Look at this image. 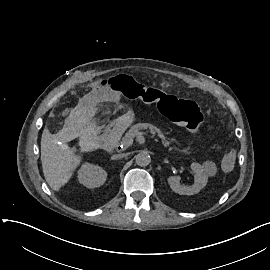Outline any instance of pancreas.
I'll return each mask as SVG.
<instances>
[{
    "label": "pancreas",
    "mask_w": 270,
    "mask_h": 270,
    "mask_svg": "<svg viewBox=\"0 0 270 270\" xmlns=\"http://www.w3.org/2000/svg\"><path fill=\"white\" fill-rule=\"evenodd\" d=\"M142 129L148 130V132H150L151 134H156L157 133L158 136L161 139L162 145L164 147H168L169 148V151L171 153H174L173 152V147L170 146V142L165 137V135L163 134V132L160 129H158L157 127L153 126L152 124H149V123H138V124H135V125L131 126L130 132L136 133V132H139V130H142Z\"/></svg>",
    "instance_id": "pancreas-1"
}]
</instances>
